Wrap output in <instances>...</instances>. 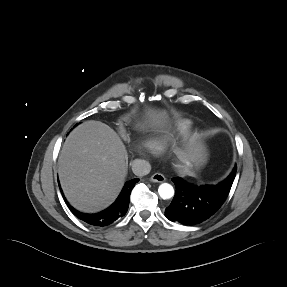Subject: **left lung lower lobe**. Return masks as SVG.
Wrapping results in <instances>:
<instances>
[{"instance_id": "obj_1", "label": "left lung lower lobe", "mask_w": 287, "mask_h": 287, "mask_svg": "<svg viewBox=\"0 0 287 287\" xmlns=\"http://www.w3.org/2000/svg\"><path fill=\"white\" fill-rule=\"evenodd\" d=\"M235 167L227 179L217 185L196 186L180 177L172 178L176 194L165 210L170 221L195 225L208 219L223 204L235 178Z\"/></svg>"}]
</instances>
